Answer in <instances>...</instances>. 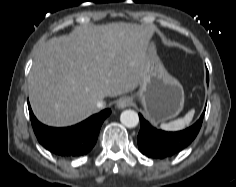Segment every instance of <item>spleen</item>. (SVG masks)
Listing matches in <instances>:
<instances>
[{
  "label": "spleen",
  "instance_id": "1",
  "mask_svg": "<svg viewBox=\"0 0 236 187\" xmlns=\"http://www.w3.org/2000/svg\"><path fill=\"white\" fill-rule=\"evenodd\" d=\"M195 114V109L190 110L183 118H179L169 123H162L160 128L164 131H179L188 126Z\"/></svg>",
  "mask_w": 236,
  "mask_h": 187
}]
</instances>
